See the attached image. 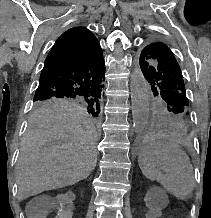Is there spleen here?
<instances>
[{"label": "spleen", "instance_id": "obj_1", "mask_svg": "<svg viewBox=\"0 0 211 218\" xmlns=\"http://www.w3.org/2000/svg\"><path fill=\"white\" fill-rule=\"evenodd\" d=\"M138 164L148 180H156L172 196L186 200L192 194L195 184L193 168L184 152L145 150L140 154Z\"/></svg>", "mask_w": 211, "mask_h": 218}]
</instances>
